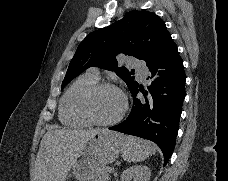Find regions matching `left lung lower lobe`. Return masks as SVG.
I'll return each mask as SVG.
<instances>
[{
	"label": "left lung lower lobe",
	"instance_id": "1",
	"mask_svg": "<svg viewBox=\"0 0 228 181\" xmlns=\"http://www.w3.org/2000/svg\"><path fill=\"white\" fill-rule=\"evenodd\" d=\"M154 78L148 91L138 83L130 91L132 110L122 123L110 130L130 134L155 142L164 155V164L175 147L182 104L185 98V73L182 59L172 38H167L146 61ZM142 92L144 99L137 96Z\"/></svg>",
	"mask_w": 228,
	"mask_h": 181
}]
</instances>
